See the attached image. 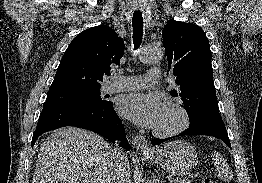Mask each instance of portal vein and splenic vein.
<instances>
[{"label": "portal vein and splenic vein", "instance_id": "obj_1", "mask_svg": "<svg viewBox=\"0 0 262 183\" xmlns=\"http://www.w3.org/2000/svg\"><path fill=\"white\" fill-rule=\"evenodd\" d=\"M171 183H176V181H172Z\"/></svg>", "mask_w": 262, "mask_h": 183}]
</instances>
